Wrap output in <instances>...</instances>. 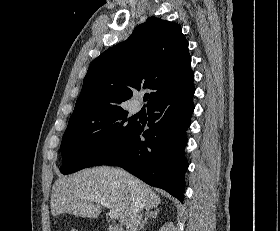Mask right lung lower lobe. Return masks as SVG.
<instances>
[{
    "label": "right lung lower lobe",
    "instance_id": "obj_1",
    "mask_svg": "<svg viewBox=\"0 0 280 231\" xmlns=\"http://www.w3.org/2000/svg\"><path fill=\"white\" fill-rule=\"evenodd\" d=\"M194 92L192 85L149 105V129L143 131L140 125H135L121 141L116 153L102 165L120 166L182 202L188 168L184 148L186 130L194 110Z\"/></svg>",
    "mask_w": 280,
    "mask_h": 231
}]
</instances>
